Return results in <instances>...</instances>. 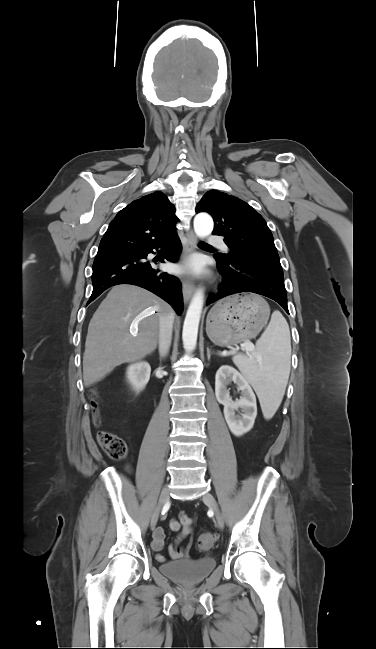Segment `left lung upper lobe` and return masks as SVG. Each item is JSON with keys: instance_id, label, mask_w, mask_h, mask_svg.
I'll use <instances>...</instances> for the list:
<instances>
[{"instance_id": "1", "label": "left lung upper lobe", "mask_w": 376, "mask_h": 649, "mask_svg": "<svg viewBox=\"0 0 376 649\" xmlns=\"http://www.w3.org/2000/svg\"><path fill=\"white\" fill-rule=\"evenodd\" d=\"M196 212L211 214L215 223L213 234L223 236L230 249V253L214 257L227 263L256 262L283 272L270 229L246 202L211 190L200 200Z\"/></svg>"}]
</instances>
